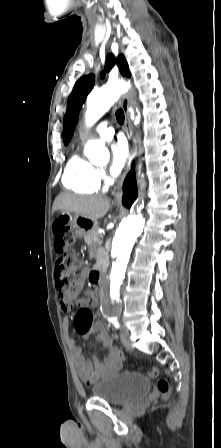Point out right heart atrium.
<instances>
[{"mask_svg":"<svg viewBox=\"0 0 221 448\" xmlns=\"http://www.w3.org/2000/svg\"><path fill=\"white\" fill-rule=\"evenodd\" d=\"M97 176L99 181H106L107 175L103 169H97Z\"/></svg>","mask_w":221,"mask_h":448,"instance_id":"d8ad5b80","label":"right heart atrium"}]
</instances>
